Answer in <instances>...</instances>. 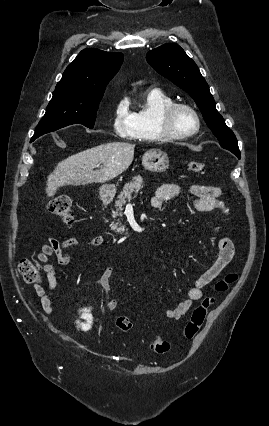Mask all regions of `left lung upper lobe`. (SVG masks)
I'll use <instances>...</instances> for the list:
<instances>
[{"mask_svg":"<svg viewBox=\"0 0 269 426\" xmlns=\"http://www.w3.org/2000/svg\"><path fill=\"white\" fill-rule=\"evenodd\" d=\"M148 63L161 75L186 91L196 102L221 147L240 155L237 139L215 107L209 86L195 62L177 44L168 43L149 51Z\"/></svg>","mask_w":269,"mask_h":426,"instance_id":"1","label":"left lung upper lobe"}]
</instances>
